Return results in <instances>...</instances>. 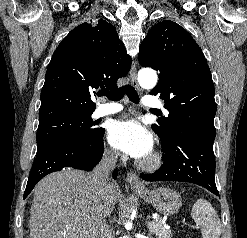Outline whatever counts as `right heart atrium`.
Returning <instances> with one entry per match:
<instances>
[{
    "label": "right heart atrium",
    "mask_w": 247,
    "mask_h": 238,
    "mask_svg": "<svg viewBox=\"0 0 247 238\" xmlns=\"http://www.w3.org/2000/svg\"><path fill=\"white\" fill-rule=\"evenodd\" d=\"M104 157L108 160H114L116 158V153L111 148H106L104 151Z\"/></svg>",
    "instance_id": "right-heart-atrium-1"
}]
</instances>
